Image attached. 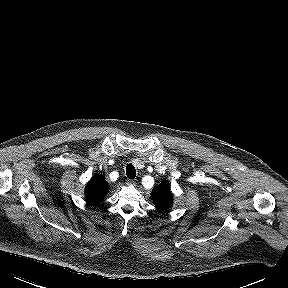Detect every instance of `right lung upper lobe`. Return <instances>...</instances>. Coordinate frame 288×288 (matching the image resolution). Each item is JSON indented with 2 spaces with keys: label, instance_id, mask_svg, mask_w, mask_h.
Segmentation results:
<instances>
[{
  "label": "right lung upper lobe",
  "instance_id": "right-lung-upper-lobe-1",
  "mask_svg": "<svg viewBox=\"0 0 288 288\" xmlns=\"http://www.w3.org/2000/svg\"><path fill=\"white\" fill-rule=\"evenodd\" d=\"M109 186L107 185L103 176H93L88 182L85 190L87 201L96 205L102 201L105 194L108 192Z\"/></svg>",
  "mask_w": 288,
  "mask_h": 288
}]
</instances>
